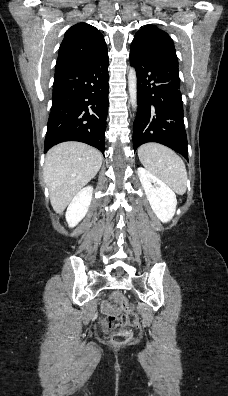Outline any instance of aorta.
Returning a JSON list of instances; mask_svg holds the SVG:
<instances>
[{"instance_id": "aorta-1", "label": "aorta", "mask_w": 228, "mask_h": 396, "mask_svg": "<svg viewBox=\"0 0 228 396\" xmlns=\"http://www.w3.org/2000/svg\"><path fill=\"white\" fill-rule=\"evenodd\" d=\"M128 89L130 95V103L134 111L137 110V76L136 71L132 67L128 74Z\"/></svg>"}]
</instances>
